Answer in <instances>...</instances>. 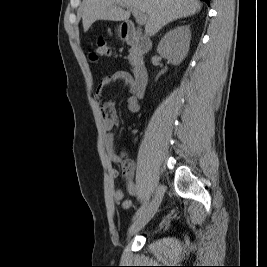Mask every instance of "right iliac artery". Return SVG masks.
<instances>
[{"label":"right iliac artery","mask_w":267,"mask_h":267,"mask_svg":"<svg viewBox=\"0 0 267 267\" xmlns=\"http://www.w3.org/2000/svg\"><path fill=\"white\" fill-rule=\"evenodd\" d=\"M148 202H149V198H146L144 203L141 205V207L135 213V215H134V217L132 219L133 221H135L139 216H141V214L144 212L145 208L147 207Z\"/></svg>","instance_id":"right-iliac-artery-1"}]
</instances>
